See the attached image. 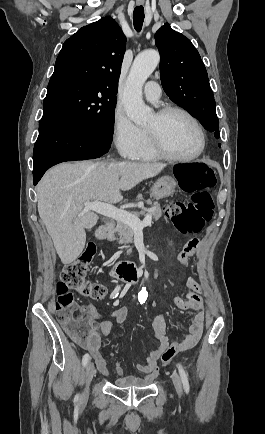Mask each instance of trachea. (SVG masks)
Returning <instances> with one entry per match:
<instances>
[{
    "instance_id": "trachea-1",
    "label": "trachea",
    "mask_w": 265,
    "mask_h": 434,
    "mask_svg": "<svg viewBox=\"0 0 265 434\" xmlns=\"http://www.w3.org/2000/svg\"><path fill=\"white\" fill-rule=\"evenodd\" d=\"M144 17H145L144 8L142 7V5H140L139 7H135L133 12V22L136 31L141 30Z\"/></svg>"
}]
</instances>
